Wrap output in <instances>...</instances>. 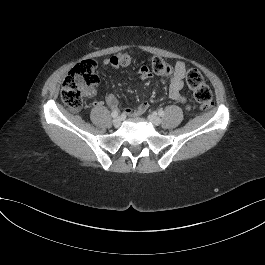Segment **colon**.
<instances>
[{
    "instance_id": "obj_1",
    "label": "colon",
    "mask_w": 265,
    "mask_h": 265,
    "mask_svg": "<svg viewBox=\"0 0 265 265\" xmlns=\"http://www.w3.org/2000/svg\"><path fill=\"white\" fill-rule=\"evenodd\" d=\"M111 59L114 64L124 68L134 63V56L131 52L119 53ZM149 64L157 76L165 77L172 73L171 66L163 58L151 57ZM186 82L200 109L204 111L211 109L213 106L212 92L200 71L190 69L186 76ZM97 83L98 76L95 62L90 59L80 61L67 73L62 84L61 98L71 111L77 112L83 106V92L85 89L93 87Z\"/></svg>"
}]
</instances>
